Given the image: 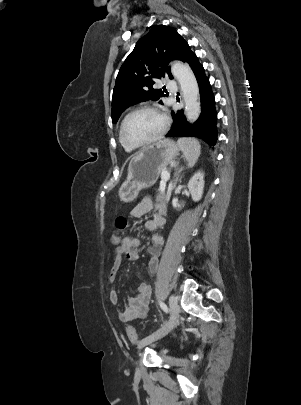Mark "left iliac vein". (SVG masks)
Returning <instances> with one entry per match:
<instances>
[{"mask_svg": "<svg viewBox=\"0 0 301 405\" xmlns=\"http://www.w3.org/2000/svg\"><path fill=\"white\" fill-rule=\"evenodd\" d=\"M169 308H170V312H171V317H170V320L168 321V323L166 325H164L162 328H160L159 330H157L156 332L143 338L138 344V347H137L138 350H141L148 344H150L158 339L163 338L175 327V325L177 323L178 315H179V307H178L177 298L174 295H171L169 297ZM136 372L139 373L138 368L136 369Z\"/></svg>", "mask_w": 301, "mask_h": 405, "instance_id": "1", "label": "left iliac vein"}]
</instances>
